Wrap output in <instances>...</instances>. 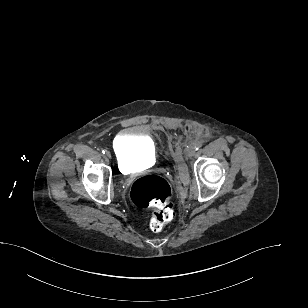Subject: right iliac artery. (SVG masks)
Instances as JSON below:
<instances>
[{
	"label": "right iliac artery",
	"mask_w": 308,
	"mask_h": 308,
	"mask_svg": "<svg viewBox=\"0 0 308 308\" xmlns=\"http://www.w3.org/2000/svg\"><path fill=\"white\" fill-rule=\"evenodd\" d=\"M106 150H102V153L105 154Z\"/></svg>",
	"instance_id": "right-iliac-artery-1"
}]
</instances>
